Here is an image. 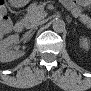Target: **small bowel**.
Returning <instances> with one entry per match:
<instances>
[{
  "instance_id": "1",
  "label": "small bowel",
  "mask_w": 91,
  "mask_h": 91,
  "mask_svg": "<svg viewBox=\"0 0 91 91\" xmlns=\"http://www.w3.org/2000/svg\"><path fill=\"white\" fill-rule=\"evenodd\" d=\"M3 10L6 11L5 7H3Z\"/></svg>"
}]
</instances>
